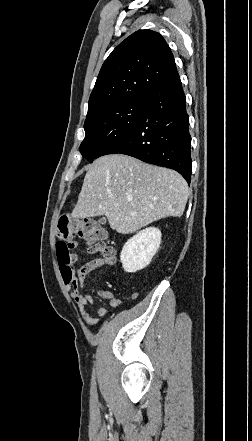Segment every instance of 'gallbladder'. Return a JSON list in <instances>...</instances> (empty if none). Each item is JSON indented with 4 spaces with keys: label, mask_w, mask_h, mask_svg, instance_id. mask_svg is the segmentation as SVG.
Wrapping results in <instances>:
<instances>
[{
    "label": "gallbladder",
    "mask_w": 252,
    "mask_h": 441,
    "mask_svg": "<svg viewBox=\"0 0 252 441\" xmlns=\"http://www.w3.org/2000/svg\"><path fill=\"white\" fill-rule=\"evenodd\" d=\"M106 221H107L106 217L102 216V217L99 219L98 222H99L100 224H105Z\"/></svg>",
    "instance_id": "gallbladder-1"
}]
</instances>
